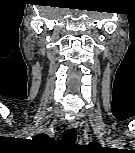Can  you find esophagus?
I'll return each mask as SVG.
<instances>
[{"label":"esophagus","mask_w":135,"mask_h":153,"mask_svg":"<svg viewBox=\"0 0 135 153\" xmlns=\"http://www.w3.org/2000/svg\"><path fill=\"white\" fill-rule=\"evenodd\" d=\"M77 126H78V123L75 120L68 121L69 128H76Z\"/></svg>","instance_id":"1"}]
</instances>
